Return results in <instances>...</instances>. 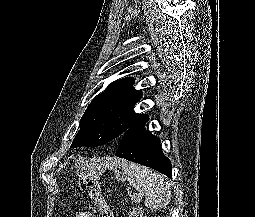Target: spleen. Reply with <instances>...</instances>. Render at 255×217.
Returning a JSON list of instances; mask_svg holds the SVG:
<instances>
[{"label": "spleen", "mask_w": 255, "mask_h": 217, "mask_svg": "<svg viewBox=\"0 0 255 217\" xmlns=\"http://www.w3.org/2000/svg\"><path fill=\"white\" fill-rule=\"evenodd\" d=\"M115 176L126 179L137 191L145 194L144 205L157 210L165 207L171 200V186L159 173L144 166L115 159L111 164Z\"/></svg>", "instance_id": "3e777b00"}]
</instances>
